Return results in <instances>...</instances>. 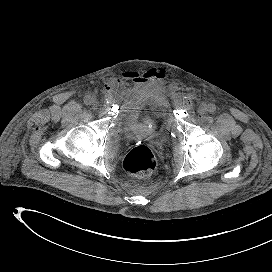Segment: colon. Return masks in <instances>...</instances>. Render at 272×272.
<instances>
[{
  "label": "colon",
  "instance_id": "1",
  "mask_svg": "<svg viewBox=\"0 0 272 272\" xmlns=\"http://www.w3.org/2000/svg\"><path fill=\"white\" fill-rule=\"evenodd\" d=\"M156 165L157 160L154 153L144 145L130 150L124 159V168L126 171L140 177L153 173Z\"/></svg>",
  "mask_w": 272,
  "mask_h": 272
}]
</instances>
